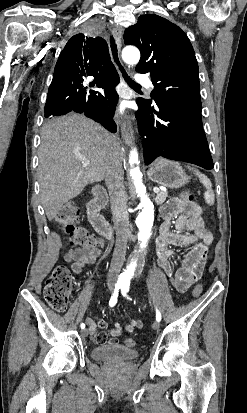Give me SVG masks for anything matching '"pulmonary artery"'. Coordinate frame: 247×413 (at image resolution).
<instances>
[{"instance_id":"obj_1","label":"pulmonary artery","mask_w":247,"mask_h":413,"mask_svg":"<svg viewBox=\"0 0 247 413\" xmlns=\"http://www.w3.org/2000/svg\"><path fill=\"white\" fill-rule=\"evenodd\" d=\"M145 83V85L150 89H154V84L151 80V77L149 75L147 76H139L136 80V85L137 86H143Z\"/></svg>"}]
</instances>
